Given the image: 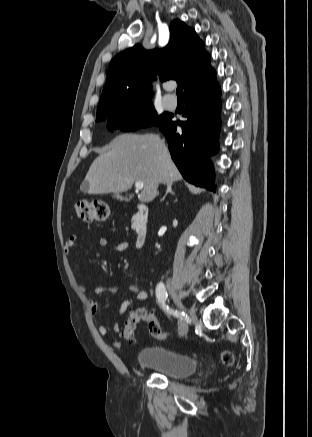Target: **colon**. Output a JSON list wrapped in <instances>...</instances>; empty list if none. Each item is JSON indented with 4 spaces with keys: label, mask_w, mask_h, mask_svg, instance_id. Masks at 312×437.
<instances>
[{
    "label": "colon",
    "mask_w": 312,
    "mask_h": 437,
    "mask_svg": "<svg viewBox=\"0 0 312 437\" xmlns=\"http://www.w3.org/2000/svg\"><path fill=\"white\" fill-rule=\"evenodd\" d=\"M74 210L77 217L86 222L106 221L111 216L109 206L104 201L93 198L78 200L74 205ZM140 322H145L149 333L158 340H164L169 336L168 332L161 329L154 313L140 307L130 311L124 319L123 337L128 342L135 343V331ZM222 362L227 366L233 365L232 353L225 351L222 354Z\"/></svg>",
    "instance_id": "5ec220e1"
}]
</instances>
